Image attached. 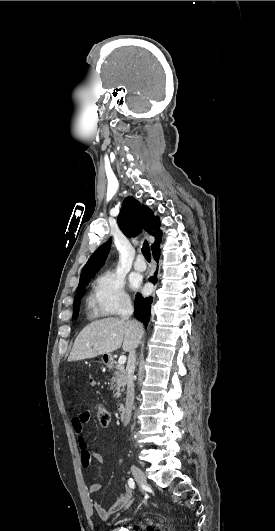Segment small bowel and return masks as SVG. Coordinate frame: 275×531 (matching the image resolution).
<instances>
[{"label":"small bowel","instance_id":"c3829d8e","mask_svg":"<svg viewBox=\"0 0 275 531\" xmlns=\"http://www.w3.org/2000/svg\"><path fill=\"white\" fill-rule=\"evenodd\" d=\"M88 380H93V377H88ZM90 390L95 391L98 388L97 383L92 382L89 385ZM90 420V413L88 411L81 412L74 416L71 420V426L75 434L77 435L80 443L81 451V463L83 466L86 464L90 465L92 460H95L99 463H105L107 457L101 453L89 451L87 449V444L84 436L85 425ZM101 484L99 482H92L88 486L89 493H95L99 491ZM133 496V491L129 486H124L119 499L110 507L104 508L97 501H90L92 509L97 513L100 519L108 520L112 514L116 511L121 510L127 504L130 503Z\"/></svg>","mask_w":275,"mask_h":531}]
</instances>
